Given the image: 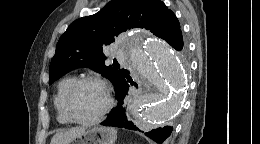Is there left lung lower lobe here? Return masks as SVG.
Segmentation results:
<instances>
[{"mask_svg": "<svg viewBox=\"0 0 260 144\" xmlns=\"http://www.w3.org/2000/svg\"><path fill=\"white\" fill-rule=\"evenodd\" d=\"M168 43L177 51H181L184 45L182 31H178ZM130 85L135 84L128 76V74L124 73L121 82L115 90L118 106L109 112L107 119L103 121L101 125L139 130V128L129 119L128 115L126 114L127 96L129 94ZM171 132L172 127L165 126L152 129L151 131L146 132L145 135L157 143H162L167 137H169Z\"/></svg>", "mask_w": 260, "mask_h": 144, "instance_id": "left-lung-lower-lobe-1", "label": "left lung lower lobe"}]
</instances>
